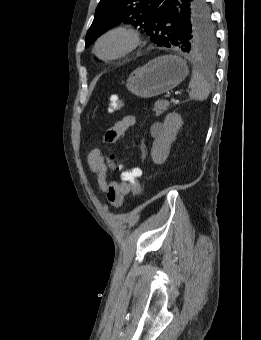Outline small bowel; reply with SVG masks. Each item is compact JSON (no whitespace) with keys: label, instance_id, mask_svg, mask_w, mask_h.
<instances>
[{"label":"small bowel","instance_id":"small-bowel-1","mask_svg":"<svg viewBox=\"0 0 261 340\" xmlns=\"http://www.w3.org/2000/svg\"><path fill=\"white\" fill-rule=\"evenodd\" d=\"M134 115H125L111 127L106 135L107 142H113L123 138L128 130L135 125ZM87 162L90 171L96 175L99 189L105 194L110 205L119 207L123 199L131 192V188L122 178L119 181L108 182L107 174L114 171L116 165L100 149L93 148L88 152Z\"/></svg>","mask_w":261,"mask_h":340}]
</instances>
